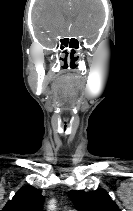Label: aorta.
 <instances>
[{
	"label": "aorta",
	"instance_id": "1",
	"mask_svg": "<svg viewBox=\"0 0 133 211\" xmlns=\"http://www.w3.org/2000/svg\"><path fill=\"white\" fill-rule=\"evenodd\" d=\"M54 209H55L54 201H51L50 204H49V210L53 211Z\"/></svg>",
	"mask_w": 133,
	"mask_h": 211
}]
</instances>
